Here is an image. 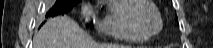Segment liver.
Here are the masks:
<instances>
[{"label":"liver","mask_w":213,"mask_h":48,"mask_svg":"<svg viewBox=\"0 0 213 48\" xmlns=\"http://www.w3.org/2000/svg\"><path fill=\"white\" fill-rule=\"evenodd\" d=\"M33 42L34 48H129L91 41L79 25L67 16L49 19L34 35Z\"/></svg>","instance_id":"liver-1"}]
</instances>
